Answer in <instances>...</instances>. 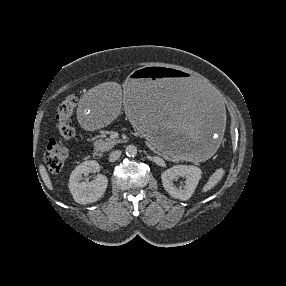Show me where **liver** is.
Here are the masks:
<instances>
[{
    "mask_svg": "<svg viewBox=\"0 0 286 286\" xmlns=\"http://www.w3.org/2000/svg\"><path fill=\"white\" fill-rule=\"evenodd\" d=\"M124 88H126V85L124 86ZM118 90H120L119 87H118ZM39 173H40L41 178H42L44 184L46 185V187H47L48 189L52 190V189H53V186H52L50 177H49V175H48V172H47L45 166L42 165V164H41L40 167H39Z\"/></svg>",
    "mask_w": 286,
    "mask_h": 286,
    "instance_id": "6515ba94",
    "label": "liver"
}]
</instances>
